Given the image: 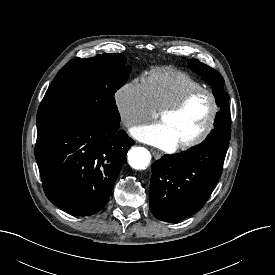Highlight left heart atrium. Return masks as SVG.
Masks as SVG:
<instances>
[{"mask_svg": "<svg viewBox=\"0 0 275 275\" xmlns=\"http://www.w3.org/2000/svg\"><path fill=\"white\" fill-rule=\"evenodd\" d=\"M131 134L138 140L161 149L171 150L177 146L174 136L161 122L136 127L131 130Z\"/></svg>", "mask_w": 275, "mask_h": 275, "instance_id": "1", "label": "left heart atrium"}]
</instances>
